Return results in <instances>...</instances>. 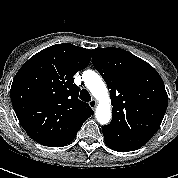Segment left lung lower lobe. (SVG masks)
<instances>
[{"label":"left lung lower lobe","instance_id":"0a47b994","mask_svg":"<svg viewBox=\"0 0 178 178\" xmlns=\"http://www.w3.org/2000/svg\"><path fill=\"white\" fill-rule=\"evenodd\" d=\"M105 143H106L111 149H113V150H115V151H118V152H128V151H132V150H130V149H126V148H122V147L116 146V145L111 144V143H109V142H107V141H105Z\"/></svg>","mask_w":178,"mask_h":178}]
</instances>
